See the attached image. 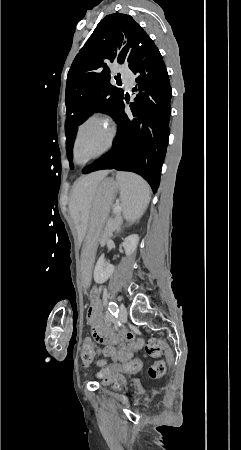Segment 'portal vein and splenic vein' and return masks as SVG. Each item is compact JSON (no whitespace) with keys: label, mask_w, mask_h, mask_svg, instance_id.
I'll return each mask as SVG.
<instances>
[{"label":"portal vein and splenic vein","mask_w":241,"mask_h":450,"mask_svg":"<svg viewBox=\"0 0 241 450\" xmlns=\"http://www.w3.org/2000/svg\"><path fill=\"white\" fill-rule=\"evenodd\" d=\"M124 206V203L123 202H114V209H113V212L114 213H117V214H120V213H122V208L121 207H123Z\"/></svg>","instance_id":"portal-vein-and-splenic-vein-1"}]
</instances>
